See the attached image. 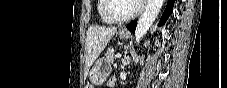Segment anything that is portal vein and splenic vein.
<instances>
[{"instance_id": "18ae733b", "label": "portal vein and splenic vein", "mask_w": 227, "mask_h": 88, "mask_svg": "<svg viewBox=\"0 0 227 88\" xmlns=\"http://www.w3.org/2000/svg\"><path fill=\"white\" fill-rule=\"evenodd\" d=\"M116 58H121L122 57V54L118 53L115 55Z\"/></svg>"}]
</instances>
